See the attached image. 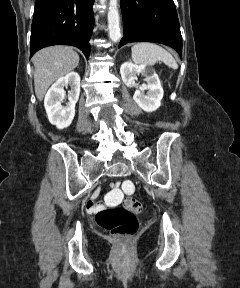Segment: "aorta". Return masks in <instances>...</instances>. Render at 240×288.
Returning <instances> with one entry per match:
<instances>
[{"label": "aorta", "instance_id": "obj_1", "mask_svg": "<svg viewBox=\"0 0 240 288\" xmlns=\"http://www.w3.org/2000/svg\"><path fill=\"white\" fill-rule=\"evenodd\" d=\"M117 5L118 0H110L107 14L109 38L113 42L119 41L122 37L120 29V16Z\"/></svg>", "mask_w": 240, "mask_h": 288}]
</instances>
